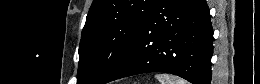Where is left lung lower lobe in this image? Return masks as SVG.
I'll return each mask as SVG.
<instances>
[{"instance_id":"1","label":"left lung lower lobe","mask_w":260,"mask_h":84,"mask_svg":"<svg viewBox=\"0 0 260 84\" xmlns=\"http://www.w3.org/2000/svg\"><path fill=\"white\" fill-rule=\"evenodd\" d=\"M212 42L213 29L205 0H156L103 84L149 72H167L193 84H210Z\"/></svg>"}]
</instances>
